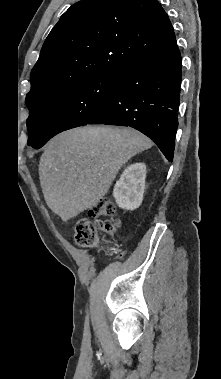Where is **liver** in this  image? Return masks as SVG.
I'll return each mask as SVG.
<instances>
[{"label":"liver","instance_id":"1","mask_svg":"<svg viewBox=\"0 0 221 379\" xmlns=\"http://www.w3.org/2000/svg\"><path fill=\"white\" fill-rule=\"evenodd\" d=\"M152 145L132 128L86 126L57 135L39 162L46 204L64 221L95 206L123 164Z\"/></svg>","mask_w":221,"mask_h":379}]
</instances>
